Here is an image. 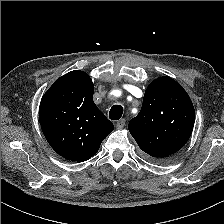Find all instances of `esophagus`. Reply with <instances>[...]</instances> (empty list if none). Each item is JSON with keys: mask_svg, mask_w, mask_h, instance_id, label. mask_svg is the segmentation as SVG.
<instances>
[{"mask_svg": "<svg viewBox=\"0 0 224 224\" xmlns=\"http://www.w3.org/2000/svg\"><path fill=\"white\" fill-rule=\"evenodd\" d=\"M125 119H120L117 123H116V128L117 129H122L125 126Z\"/></svg>", "mask_w": 224, "mask_h": 224, "instance_id": "obj_1", "label": "esophagus"}]
</instances>
